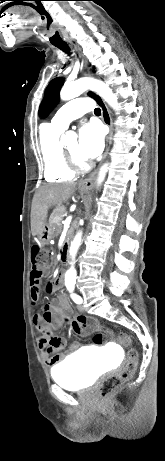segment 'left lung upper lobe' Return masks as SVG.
<instances>
[{
  "label": "left lung upper lobe",
  "instance_id": "obj_1",
  "mask_svg": "<svg viewBox=\"0 0 165 461\" xmlns=\"http://www.w3.org/2000/svg\"><path fill=\"white\" fill-rule=\"evenodd\" d=\"M63 84L62 78L53 79L47 86L43 101L40 105L39 114L46 118L59 101V92Z\"/></svg>",
  "mask_w": 165,
  "mask_h": 461
}]
</instances>
